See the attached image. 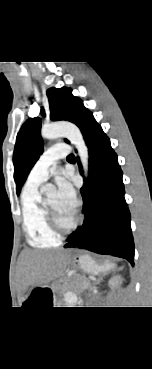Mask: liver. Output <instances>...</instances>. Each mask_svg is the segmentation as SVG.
I'll return each instance as SVG.
<instances>
[{"mask_svg":"<svg viewBox=\"0 0 152 369\" xmlns=\"http://www.w3.org/2000/svg\"><path fill=\"white\" fill-rule=\"evenodd\" d=\"M67 252L24 250L19 257L20 277L24 286L53 279L66 263Z\"/></svg>","mask_w":152,"mask_h":369,"instance_id":"obj_1","label":"liver"}]
</instances>
